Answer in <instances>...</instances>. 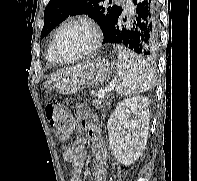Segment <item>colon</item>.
<instances>
[{"label":"colon","mask_w":197,"mask_h":181,"mask_svg":"<svg viewBox=\"0 0 197 181\" xmlns=\"http://www.w3.org/2000/svg\"><path fill=\"white\" fill-rule=\"evenodd\" d=\"M45 115L57 135L63 136L67 133L72 121L68 113L58 109L54 104L48 103L45 106Z\"/></svg>","instance_id":"1"}]
</instances>
